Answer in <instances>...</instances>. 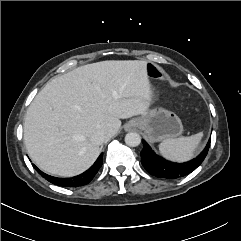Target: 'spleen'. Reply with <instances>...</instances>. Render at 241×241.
Wrapping results in <instances>:
<instances>
[{
  "mask_svg": "<svg viewBox=\"0 0 241 241\" xmlns=\"http://www.w3.org/2000/svg\"><path fill=\"white\" fill-rule=\"evenodd\" d=\"M202 137L203 133L199 132L189 137L166 139L159 145L160 153L168 160L186 162L192 159Z\"/></svg>",
  "mask_w": 241,
  "mask_h": 241,
  "instance_id": "1",
  "label": "spleen"
}]
</instances>
